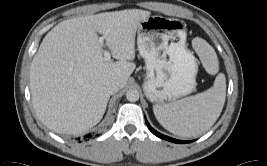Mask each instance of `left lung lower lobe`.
Here are the masks:
<instances>
[{"mask_svg":"<svg viewBox=\"0 0 267 166\" xmlns=\"http://www.w3.org/2000/svg\"><path fill=\"white\" fill-rule=\"evenodd\" d=\"M146 124L148 126V128L150 129V131L155 134L157 137L161 138V139H165L167 141H171V142H174V143H189V142H192V141H181V140H176V139H173V138H170L168 136H165V135H162L161 133L157 132L156 130H154L148 123V121L146 120Z\"/></svg>","mask_w":267,"mask_h":166,"instance_id":"left-lung-lower-lobe-1","label":"left lung lower lobe"}]
</instances>
